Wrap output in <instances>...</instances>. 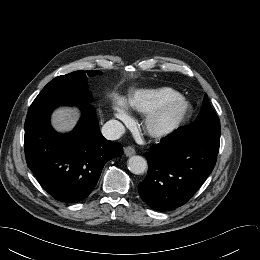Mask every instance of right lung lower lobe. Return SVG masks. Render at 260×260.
Wrapping results in <instances>:
<instances>
[{
    "label": "right lung lower lobe",
    "instance_id": "98d812e1",
    "mask_svg": "<svg viewBox=\"0 0 260 260\" xmlns=\"http://www.w3.org/2000/svg\"><path fill=\"white\" fill-rule=\"evenodd\" d=\"M77 105L82 117L66 135L55 132L50 114L59 105ZM27 165L56 200L77 203L93 191L106 162L123 153L121 144L106 140L89 103H32L25 121Z\"/></svg>",
    "mask_w": 260,
    "mask_h": 260
}]
</instances>
